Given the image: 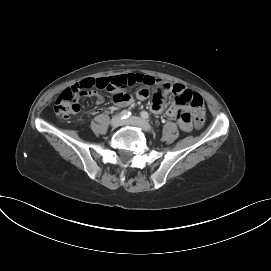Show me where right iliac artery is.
Instances as JSON below:
<instances>
[{
	"label": "right iliac artery",
	"mask_w": 271,
	"mask_h": 271,
	"mask_svg": "<svg viewBox=\"0 0 271 271\" xmlns=\"http://www.w3.org/2000/svg\"><path fill=\"white\" fill-rule=\"evenodd\" d=\"M130 115H131V113H130V111H128V110H123V111L120 113L121 119H126V118H128Z\"/></svg>",
	"instance_id": "82829eb1"
}]
</instances>
